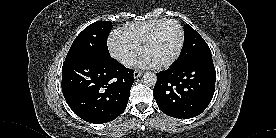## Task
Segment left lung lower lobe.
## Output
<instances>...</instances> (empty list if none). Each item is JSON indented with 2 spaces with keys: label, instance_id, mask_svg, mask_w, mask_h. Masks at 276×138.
<instances>
[{
  "label": "left lung lower lobe",
  "instance_id": "left-lung-lower-lobe-1",
  "mask_svg": "<svg viewBox=\"0 0 276 138\" xmlns=\"http://www.w3.org/2000/svg\"><path fill=\"white\" fill-rule=\"evenodd\" d=\"M153 90L159 109L165 114L189 119L201 114L215 91L216 72L212 54H203L156 74Z\"/></svg>",
  "mask_w": 276,
  "mask_h": 138
}]
</instances>
